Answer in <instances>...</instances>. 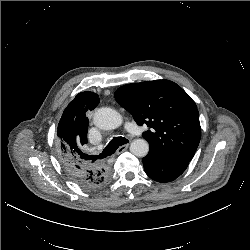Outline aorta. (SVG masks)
Here are the masks:
<instances>
[{"label": "aorta", "instance_id": "762f6f07", "mask_svg": "<svg viewBox=\"0 0 250 250\" xmlns=\"http://www.w3.org/2000/svg\"><path fill=\"white\" fill-rule=\"evenodd\" d=\"M94 124L103 130H112L122 124V116L112 108L102 107L96 110ZM130 152L137 157H144L149 152V144L145 139H135L130 144Z\"/></svg>", "mask_w": 250, "mask_h": 250}]
</instances>
